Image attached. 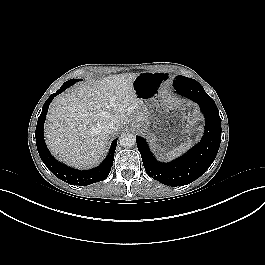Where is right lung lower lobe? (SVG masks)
I'll return each mask as SVG.
<instances>
[{
    "mask_svg": "<svg viewBox=\"0 0 265 265\" xmlns=\"http://www.w3.org/2000/svg\"><path fill=\"white\" fill-rule=\"evenodd\" d=\"M64 91L63 88H60L56 93L50 95V97L46 100L43 105L42 112L38 118L35 137H36V145L39 152V155L47 166V168L59 179L71 184V185H78V186H86L90 185L95 182L103 181L110 173L111 167L113 165L114 160V152L117 145V139L112 142L110 151L105 158V160L99 165L98 167L86 170V171H79L76 169H72L60 162H58L49 152L44 136H43V129H44V122L47 115V111L49 105L53 98Z\"/></svg>",
    "mask_w": 265,
    "mask_h": 265,
    "instance_id": "1",
    "label": "right lung lower lobe"
}]
</instances>
